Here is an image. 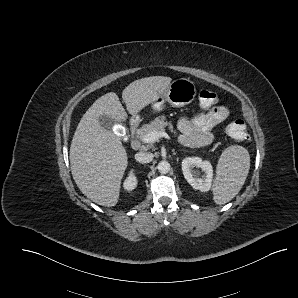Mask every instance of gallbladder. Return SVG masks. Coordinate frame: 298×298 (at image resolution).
Segmentation results:
<instances>
[{
    "instance_id": "1",
    "label": "gallbladder",
    "mask_w": 298,
    "mask_h": 298,
    "mask_svg": "<svg viewBox=\"0 0 298 298\" xmlns=\"http://www.w3.org/2000/svg\"><path fill=\"white\" fill-rule=\"evenodd\" d=\"M98 123L101 127L112 130L113 127L118 123V121L108 114L100 115L98 118Z\"/></svg>"
}]
</instances>
